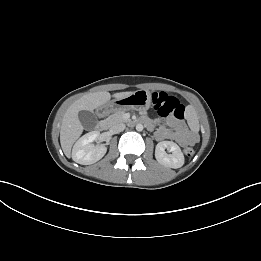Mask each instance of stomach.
I'll return each instance as SVG.
<instances>
[{"label": "stomach", "mask_w": 261, "mask_h": 261, "mask_svg": "<svg viewBox=\"0 0 261 261\" xmlns=\"http://www.w3.org/2000/svg\"><path fill=\"white\" fill-rule=\"evenodd\" d=\"M151 105V93L148 90L141 89L134 91L128 96L115 98L114 100L100 107L103 114L122 110H148Z\"/></svg>", "instance_id": "obj_1"}]
</instances>
